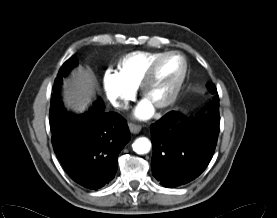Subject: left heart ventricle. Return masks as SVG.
I'll return each instance as SVG.
<instances>
[{"instance_id": "b2bd125f", "label": "left heart ventricle", "mask_w": 277, "mask_h": 218, "mask_svg": "<svg viewBox=\"0 0 277 218\" xmlns=\"http://www.w3.org/2000/svg\"><path fill=\"white\" fill-rule=\"evenodd\" d=\"M182 68V61L178 56L171 55L163 59L147 88L146 99L153 105L166 99L179 79Z\"/></svg>"}]
</instances>
